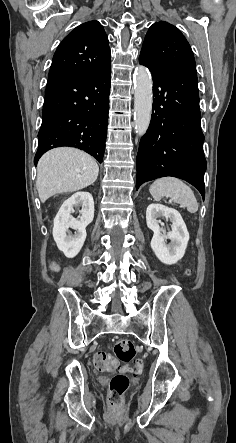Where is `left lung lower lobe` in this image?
I'll list each match as a JSON object with an SVG mask.
<instances>
[{"label":"left lung lower lobe","mask_w":236,"mask_h":443,"mask_svg":"<svg viewBox=\"0 0 236 443\" xmlns=\"http://www.w3.org/2000/svg\"><path fill=\"white\" fill-rule=\"evenodd\" d=\"M153 79L151 123L137 154L136 189L164 176L183 179L205 197L204 135L196 69L182 66H150Z\"/></svg>","instance_id":"left-lung-lower-lobe-1"}]
</instances>
